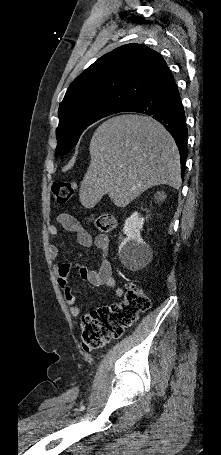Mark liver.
Instances as JSON below:
<instances>
[{
  "label": "liver",
  "instance_id": "1",
  "mask_svg": "<svg viewBox=\"0 0 221 455\" xmlns=\"http://www.w3.org/2000/svg\"><path fill=\"white\" fill-rule=\"evenodd\" d=\"M89 151L90 165L79 191L85 208L95 207L105 194L117 207H125L152 186H181L176 143L150 117L123 114L108 119L94 132Z\"/></svg>",
  "mask_w": 221,
  "mask_h": 455
}]
</instances>
